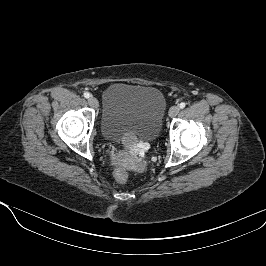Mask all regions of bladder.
<instances>
[{
	"mask_svg": "<svg viewBox=\"0 0 266 266\" xmlns=\"http://www.w3.org/2000/svg\"><path fill=\"white\" fill-rule=\"evenodd\" d=\"M166 106L155 87L114 83L103 93L101 133L111 142L127 137L153 141L161 131Z\"/></svg>",
	"mask_w": 266,
	"mask_h": 266,
	"instance_id": "1",
	"label": "bladder"
}]
</instances>
